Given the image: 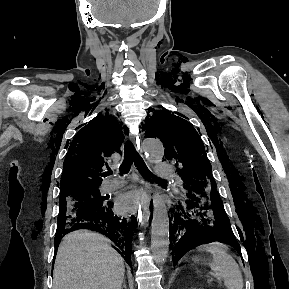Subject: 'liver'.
Returning a JSON list of instances; mask_svg holds the SVG:
<instances>
[{
    "label": "liver",
    "mask_w": 289,
    "mask_h": 289,
    "mask_svg": "<svg viewBox=\"0 0 289 289\" xmlns=\"http://www.w3.org/2000/svg\"><path fill=\"white\" fill-rule=\"evenodd\" d=\"M124 260L101 234L77 230L59 245L53 289H121Z\"/></svg>",
    "instance_id": "1"
}]
</instances>
